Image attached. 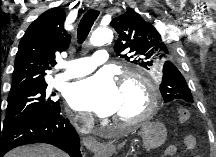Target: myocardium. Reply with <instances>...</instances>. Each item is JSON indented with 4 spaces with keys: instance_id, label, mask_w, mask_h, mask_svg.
I'll return each instance as SVG.
<instances>
[{
    "instance_id": "obj_1",
    "label": "myocardium",
    "mask_w": 216,
    "mask_h": 157,
    "mask_svg": "<svg viewBox=\"0 0 216 157\" xmlns=\"http://www.w3.org/2000/svg\"><path fill=\"white\" fill-rule=\"evenodd\" d=\"M137 83L141 85L146 92V107L144 111L136 118L133 119H120L114 118V121L120 125L127 127H135L141 125L142 123L148 121L153 114L156 112L159 103L160 96L157 88L153 82L143 73L139 71H126L122 74L121 87L127 83Z\"/></svg>"
}]
</instances>
